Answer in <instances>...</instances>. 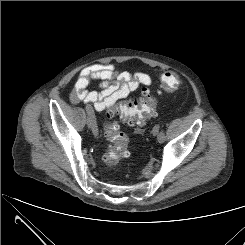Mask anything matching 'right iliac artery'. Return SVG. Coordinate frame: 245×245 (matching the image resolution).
<instances>
[{
    "instance_id": "right-iliac-artery-1",
    "label": "right iliac artery",
    "mask_w": 245,
    "mask_h": 245,
    "mask_svg": "<svg viewBox=\"0 0 245 245\" xmlns=\"http://www.w3.org/2000/svg\"><path fill=\"white\" fill-rule=\"evenodd\" d=\"M86 111L88 116L92 119V124H93V132L98 134V128H97V122H96V118L94 116V111L92 109V107H86Z\"/></svg>"
}]
</instances>
